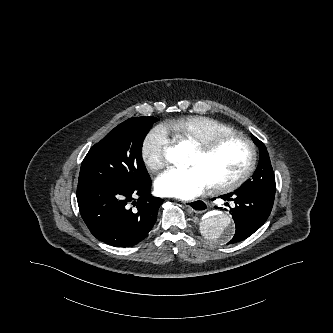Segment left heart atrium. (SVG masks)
I'll return each instance as SVG.
<instances>
[{"mask_svg":"<svg viewBox=\"0 0 333 333\" xmlns=\"http://www.w3.org/2000/svg\"><path fill=\"white\" fill-rule=\"evenodd\" d=\"M211 185V181L198 166L170 168L156 179V189L164 196L193 199Z\"/></svg>","mask_w":333,"mask_h":333,"instance_id":"left-heart-atrium-1","label":"left heart atrium"}]
</instances>
